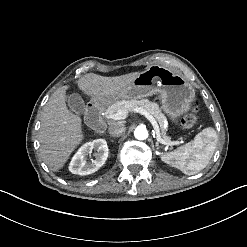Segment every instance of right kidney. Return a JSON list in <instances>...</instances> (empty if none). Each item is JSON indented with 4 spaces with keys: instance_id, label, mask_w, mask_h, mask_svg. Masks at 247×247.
Masks as SVG:
<instances>
[{
    "instance_id": "obj_1",
    "label": "right kidney",
    "mask_w": 247,
    "mask_h": 247,
    "mask_svg": "<svg viewBox=\"0 0 247 247\" xmlns=\"http://www.w3.org/2000/svg\"><path fill=\"white\" fill-rule=\"evenodd\" d=\"M96 150L95 160L87 162V156ZM108 146L105 139H96L82 145L72 157L69 171L78 175H89L96 172L108 158Z\"/></svg>"
}]
</instances>
